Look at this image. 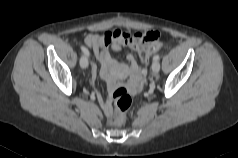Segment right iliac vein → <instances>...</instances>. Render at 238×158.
Instances as JSON below:
<instances>
[{"label": "right iliac vein", "mask_w": 238, "mask_h": 158, "mask_svg": "<svg viewBox=\"0 0 238 158\" xmlns=\"http://www.w3.org/2000/svg\"><path fill=\"white\" fill-rule=\"evenodd\" d=\"M89 61L87 55H82L80 58V66L83 69H86L88 67Z\"/></svg>", "instance_id": "right-iliac-vein-1"}]
</instances>
